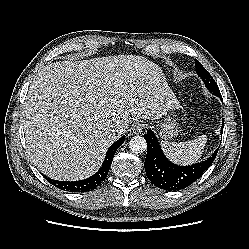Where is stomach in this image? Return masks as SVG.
Instances as JSON below:
<instances>
[{"label":"stomach","mask_w":249,"mask_h":249,"mask_svg":"<svg viewBox=\"0 0 249 249\" xmlns=\"http://www.w3.org/2000/svg\"><path fill=\"white\" fill-rule=\"evenodd\" d=\"M180 106L174 96L170 98V106L168 111L164 113L160 119L159 136L168 140L177 136L179 132V123L176 122L175 116Z\"/></svg>","instance_id":"obj_1"}]
</instances>
